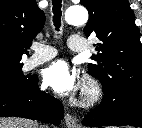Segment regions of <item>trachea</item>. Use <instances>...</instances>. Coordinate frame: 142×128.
Instances as JSON below:
<instances>
[{"instance_id":"obj_1","label":"trachea","mask_w":142,"mask_h":128,"mask_svg":"<svg viewBox=\"0 0 142 128\" xmlns=\"http://www.w3.org/2000/svg\"><path fill=\"white\" fill-rule=\"evenodd\" d=\"M61 2L62 0H52L53 4V22L54 26L56 27V30L59 31V28L61 26Z\"/></svg>"}]
</instances>
